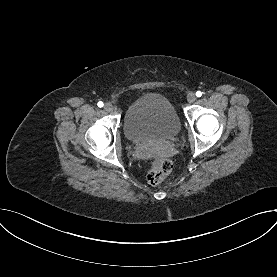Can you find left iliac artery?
<instances>
[{"label": "left iliac artery", "mask_w": 277, "mask_h": 277, "mask_svg": "<svg viewBox=\"0 0 277 277\" xmlns=\"http://www.w3.org/2000/svg\"><path fill=\"white\" fill-rule=\"evenodd\" d=\"M196 96H197V97H201V96H202V92H201V91H197V92H196Z\"/></svg>", "instance_id": "1"}]
</instances>
